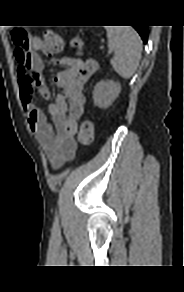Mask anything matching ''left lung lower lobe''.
<instances>
[{
    "label": "left lung lower lobe",
    "instance_id": "1",
    "mask_svg": "<svg viewBox=\"0 0 184 292\" xmlns=\"http://www.w3.org/2000/svg\"><path fill=\"white\" fill-rule=\"evenodd\" d=\"M133 27L140 34L141 38L143 39V42L146 43L147 42V38H148V26L136 25V26H133Z\"/></svg>",
    "mask_w": 184,
    "mask_h": 292
}]
</instances>
